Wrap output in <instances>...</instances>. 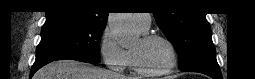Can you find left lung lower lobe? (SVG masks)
Here are the masks:
<instances>
[{"mask_svg":"<svg viewBox=\"0 0 255 79\" xmlns=\"http://www.w3.org/2000/svg\"><path fill=\"white\" fill-rule=\"evenodd\" d=\"M183 72H198L210 76L213 79H222L218 63L197 64L184 69Z\"/></svg>","mask_w":255,"mask_h":79,"instance_id":"0a47b994","label":"left lung lower lobe"}]
</instances>
